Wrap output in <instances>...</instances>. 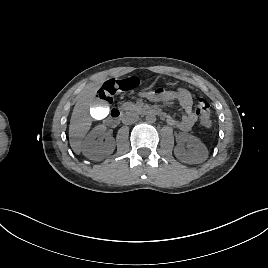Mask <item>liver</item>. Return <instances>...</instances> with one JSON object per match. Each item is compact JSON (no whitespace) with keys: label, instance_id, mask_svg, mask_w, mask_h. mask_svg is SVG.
I'll list each match as a JSON object with an SVG mask.
<instances>
[{"label":"liver","instance_id":"6515ba94","mask_svg":"<svg viewBox=\"0 0 268 268\" xmlns=\"http://www.w3.org/2000/svg\"><path fill=\"white\" fill-rule=\"evenodd\" d=\"M98 85H90L78 98L69 125V140L72 150L79 154L81 152V140L85 137L92 125V118L89 113L90 108H94L95 94Z\"/></svg>","mask_w":268,"mask_h":268}]
</instances>
